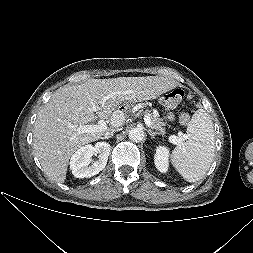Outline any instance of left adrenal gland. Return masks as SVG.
Instances as JSON below:
<instances>
[{"label": "left adrenal gland", "mask_w": 253, "mask_h": 253, "mask_svg": "<svg viewBox=\"0 0 253 253\" xmlns=\"http://www.w3.org/2000/svg\"><path fill=\"white\" fill-rule=\"evenodd\" d=\"M148 133H149V135L151 136L152 139L155 138V136L157 135V133L153 132L151 129L148 130Z\"/></svg>", "instance_id": "a2214340"}]
</instances>
